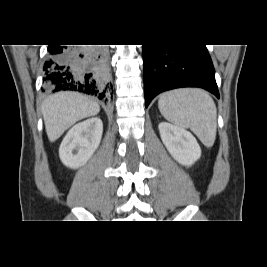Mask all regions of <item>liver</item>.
<instances>
[{"instance_id":"liver-1","label":"liver","mask_w":267,"mask_h":267,"mask_svg":"<svg viewBox=\"0 0 267 267\" xmlns=\"http://www.w3.org/2000/svg\"><path fill=\"white\" fill-rule=\"evenodd\" d=\"M99 105L90 98L74 92H59L48 97L42 105L46 133L56 141L76 122L97 115Z\"/></svg>"}]
</instances>
